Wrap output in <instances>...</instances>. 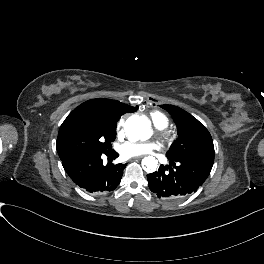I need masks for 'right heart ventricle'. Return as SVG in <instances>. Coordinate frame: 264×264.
<instances>
[{
	"label": "right heart ventricle",
	"mask_w": 264,
	"mask_h": 264,
	"mask_svg": "<svg viewBox=\"0 0 264 264\" xmlns=\"http://www.w3.org/2000/svg\"><path fill=\"white\" fill-rule=\"evenodd\" d=\"M153 120L156 124H167L166 118L158 112L153 114Z\"/></svg>",
	"instance_id": "obj_1"
}]
</instances>
